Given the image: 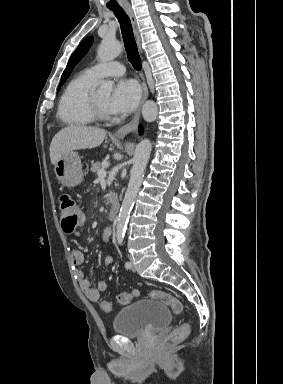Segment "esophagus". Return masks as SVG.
<instances>
[{"label":"esophagus","mask_w":283,"mask_h":384,"mask_svg":"<svg viewBox=\"0 0 283 384\" xmlns=\"http://www.w3.org/2000/svg\"><path fill=\"white\" fill-rule=\"evenodd\" d=\"M124 8H125L126 13L128 14V17L131 20V24H132V27H133V32H134V35H135V38H136L138 49L141 52L139 29H138L137 20L135 18L134 11L132 10V8L130 6H125ZM142 87H143L142 98L140 100V103H139V106L137 108V111H136L133 119L131 120V122H129L126 125H123L122 127H120L116 131L115 135L117 137H125V135L129 134L130 132H134L137 129L138 124H139V120H140V116H141L142 105L145 102V100L148 98V87L146 86V84L144 82H143V86Z\"/></svg>","instance_id":"34e87169"}]
</instances>
